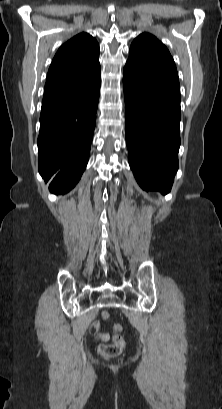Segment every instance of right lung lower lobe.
I'll use <instances>...</instances> for the list:
<instances>
[{
  "instance_id": "1",
  "label": "right lung lower lobe",
  "mask_w": 222,
  "mask_h": 409,
  "mask_svg": "<svg viewBox=\"0 0 222 409\" xmlns=\"http://www.w3.org/2000/svg\"><path fill=\"white\" fill-rule=\"evenodd\" d=\"M100 94V71L76 93L43 99L38 169L51 193L69 192L87 165Z\"/></svg>"
}]
</instances>
